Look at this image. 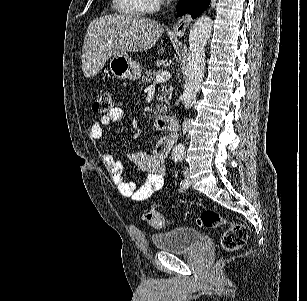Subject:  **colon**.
<instances>
[{"instance_id":"colon-1","label":"colon","mask_w":307,"mask_h":301,"mask_svg":"<svg viewBox=\"0 0 307 301\" xmlns=\"http://www.w3.org/2000/svg\"><path fill=\"white\" fill-rule=\"evenodd\" d=\"M112 108V101L108 94L103 93L98 96L93 104L92 109L97 113H106ZM147 223L155 229H165L167 221L162 213L156 209H149L145 213ZM199 226L206 229H214L226 226L220 243L222 248L227 252L236 251L242 248L247 239V229L240 223L231 222L222 217L218 212L212 209L204 210L198 217Z\"/></svg>"}]
</instances>
